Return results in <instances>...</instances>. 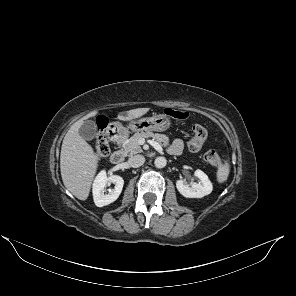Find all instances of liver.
I'll use <instances>...</instances> for the list:
<instances>
[{
  "label": "liver",
  "instance_id": "liver-1",
  "mask_svg": "<svg viewBox=\"0 0 296 296\" xmlns=\"http://www.w3.org/2000/svg\"><path fill=\"white\" fill-rule=\"evenodd\" d=\"M149 108H137L118 115L121 121H130L146 114ZM97 111L88 113L75 122L66 133L60 154V171L65 187L79 200L89 196L91 184L98 168L99 158L94 149L79 134L84 119L94 117Z\"/></svg>",
  "mask_w": 296,
  "mask_h": 296
}]
</instances>
